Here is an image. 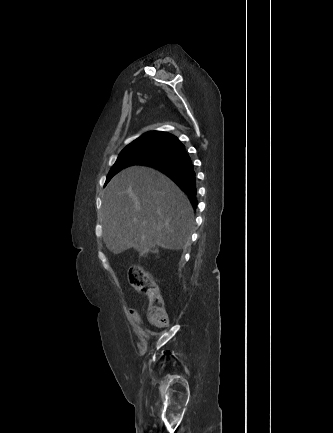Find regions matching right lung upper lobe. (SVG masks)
<instances>
[{"instance_id":"obj_1","label":"right lung upper lobe","mask_w":333,"mask_h":433,"mask_svg":"<svg viewBox=\"0 0 333 433\" xmlns=\"http://www.w3.org/2000/svg\"><path fill=\"white\" fill-rule=\"evenodd\" d=\"M169 137H173L176 140H178L175 136L167 133V132H161V131H150L147 132L140 137H138L136 140H134L132 143H130L128 146L131 145H137L142 142H148V141H155L163 144L168 140Z\"/></svg>"}]
</instances>
